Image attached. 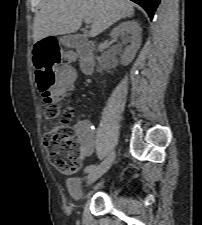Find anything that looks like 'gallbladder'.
<instances>
[{"mask_svg": "<svg viewBox=\"0 0 202 225\" xmlns=\"http://www.w3.org/2000/svg\"><path fill=\"white\" fill-rule=\"evenodd\" d=\"M82 36L79 34H66L59 38L60 44L67 48H76L82 43Z\"/></svg>", "mask_w": 202, "mask_h": 225, "instance_id": "bac80fb5", "label": "gallbladder"}]
</instances>
